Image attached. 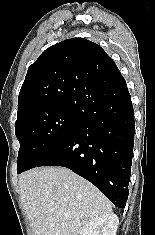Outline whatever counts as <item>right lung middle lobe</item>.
I'll return each instance as SVG.
<instances>
[{
    "mask_svg": "<svg viewBox=\"0 0 155 235\" xmlns=\"http://www.w3.org/2000/svg\"><path fill=\"white\" fill-rule=\"evenodd\" d=\"M82 124L78 109L61 105L40 106L18 116L15 123L20 142L17 172L36 167Z\"/></svg>",
    "mask_w": 155,
    "mask_h": 235,
    "instance_id": "right-lung-middle-lobe-1",
    "label": "right lung middle lobe"
}]
</instances>
